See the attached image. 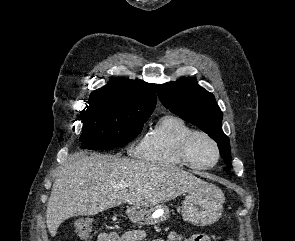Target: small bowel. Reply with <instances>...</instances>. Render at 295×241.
<instances>
[{"instance_id": "1", "label": "small bowel", "mask_w": 295, "mask_h": 241, "mask_svg": "<svg viewBox=\"0 0 295 241\" xmlns=\"http://www.w3.org/2000/svg\"><path fill=\"white\" fill-rule=\"evenodd\" d=\"M147 233L143 230H130L119 236L114 232L100 234L98 241H145ZM153 241H211L207 235L194 234L184 237L176 231H171L166 239H154Z\"/></svg>"}]
</instances>
